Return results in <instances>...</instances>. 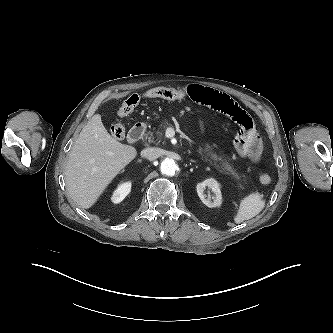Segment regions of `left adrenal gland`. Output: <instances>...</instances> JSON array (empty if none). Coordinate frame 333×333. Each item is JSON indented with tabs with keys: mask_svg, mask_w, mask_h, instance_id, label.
<instances>
[{
	"mask_svg": "<svg viewBox=\"0 0 333 333\" xmlns=\"http://www.w3.org/2000/svg\"><path fill=\"white\" fill-rule=\"evenodd\" d=\"M192 163H195L196 161L195 160H190Z\"/></svg>",
	"mask_w": 333,
	"mask_h": 333,
	"instance_id": "obj_1",
	"label": "left adrenal gland"
}]
</instances>
